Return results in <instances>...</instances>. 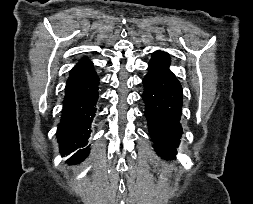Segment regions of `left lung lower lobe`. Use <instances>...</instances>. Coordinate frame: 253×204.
I'll return each mask as SVG.
<instances>
[{
    "label": "left lung lower lobe",
    "mask_w": 253,
    "mask_h": 204,
    "mask_svg": "<svg viewBox=\"0 0 253 204\" xmlns=\"http://www.w3.org/2000/svg\"><path fill=\"white\" fill-rule=\"evenodd\" d=\"M169 55L153 53L148 63V74L143 79L145 116L157 154L166 160L174 159L182 135L180 115L182 87L169 70Z\"/></svg>",
    "instance_id": "left-lung-lower-lobe-1"
}]
</instances>
